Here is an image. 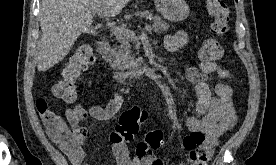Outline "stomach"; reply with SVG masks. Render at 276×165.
Wrapping results in <instances>:
<instances>
[{"label": "stomach", "instance_id": "stomach-1", "mask_svg": "<svg viewBox=\"0 0 276 165\" xmlns=\"http://www.w3.org/2000/svg\"><path fill=\"white\" fill-rule=\"evenodd\" d=\"M157 10L171 22H180L189 15V6L185 0H154Z\"/></svg>", "mask_w": 276, "mask_h": 165}]
</instances>
